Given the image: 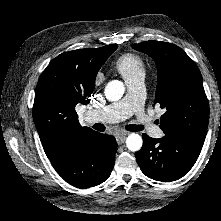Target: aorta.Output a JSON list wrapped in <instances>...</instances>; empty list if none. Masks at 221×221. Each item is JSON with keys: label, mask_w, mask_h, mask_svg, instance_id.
I'll use <instances>...</instances> for the list:
<instances>
[{"label": "aorta", "mask_w": 221, "mask_h": 221, "mask_svg": "<svg viewBox=\"0 0 221 221\" xmlns=\"http://www.w3.org/2000/svg\"><path fill=\"white\" fill-rule=\"evenodd\" d=\"M125 91L123 82L119 80H112L107 83L104 93L109 101H118L122 98ZM142 137L137 133H131L126 139V146L129 150L135 152L139 151L142 147Z\"/></svg>", "instance_id": "1"}]
</instances>
